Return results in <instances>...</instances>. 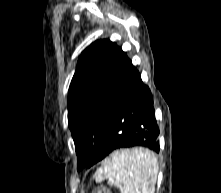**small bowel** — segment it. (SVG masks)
Listing matches in <instances>:
<instances>
[{
	"mask_svg": "<svg viewBox=\"0 0 221 193\" xmlns=\"http://www.w3.org/2000/svg\"><path fill=\"white\" fill-rule=\"evenodd\" d=\"M106 193H111L108 189H106Z\"/></svg>",
	"mask_w": 221,
	"mask_h": 193,
	"instance_id": "1",
	"label": "small bowel"
}]
</instances>
